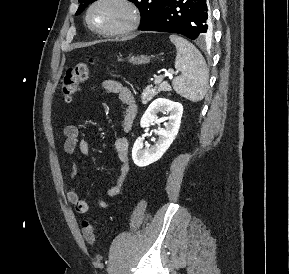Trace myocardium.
Returning a JSON list of instances; mask_svg holds the SVG:
<instances>
[{
  "instance_id": "obj_1",
  "label": "myocardium",
  "mask_w": 289,
  "mask_h": 274,
  "mask_svg": "<svg viewBox=\"0 0 289 274\" xmlns=\"http://www.w3.org/2000/svg\"><path fill=\"white\" fill-rule=\"evenodd\" d=\"M104 3H114L123 7L127 13L126 21L122 25L110 30H102L95 27L91 22V13L94 8ZM85 20L88 28L93 33L103 37H119L130 34L138 27L141 13L133 0H94L86 10Z\"/></svg>"
}]
</instances>
